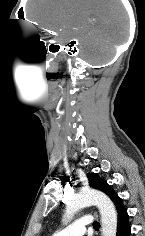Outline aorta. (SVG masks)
<instances>
[{"label":"aorta","mask_w":145,"mask_h":236,"mask_svg":"<svg viewBox=\"0 0 145 236\" xmlns=\"http://www.w3.org/2000/svg\"><path fill=\"white\" fill-rule=\"evenodd\" d=\"M96 205L101 214L102 236H116L117 213L112 201L102 192L93 189L82 190L72 196L66 204L65 219H70L79 209Z\"/></svg>","instance_id":"762f6f07"}]
</instances>
